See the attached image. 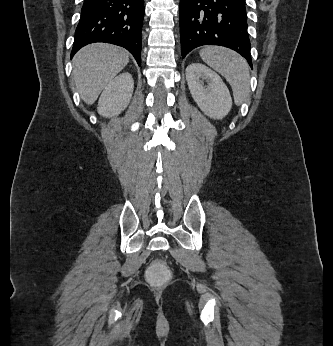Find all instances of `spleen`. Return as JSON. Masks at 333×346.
<instances>
[{"label": "spleen", "instance_id": "spleen-1", "mask_svg": "<svg viewBox=\"0 0 333 346\" xmlns=\"http://www.w3.org/2000/svg\"><path fill=\"white\" fill-rule=\"evenodd\" d=\"M200 56L230 83L235 103L240 105L245 101L250 91L249 67L245 59L230 49L217 46L205 47Z\"/></svg>", "mask_w": 333, "mask_h": 346}]
</instances>
